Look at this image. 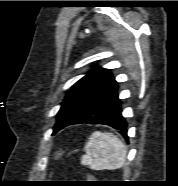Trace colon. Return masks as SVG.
Instances as JSON below:
<instances>
[{"label":"colon","mask_w":178,"mask_h":186,"mask_svg":"<svg viewBox=\"0 0 178 186\" xmlns=\"http://www.w3.org/2000/svg\"><path fill=\"white\" fill-rule=\"evenodd\" d=\"M62 152H63V151L58 150V151L56 152V154H55V155H56V157H59V156L62 154Z\"/></svg>","instance_id":"obj_1"}]
</instances>
